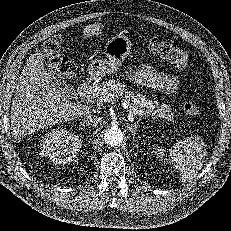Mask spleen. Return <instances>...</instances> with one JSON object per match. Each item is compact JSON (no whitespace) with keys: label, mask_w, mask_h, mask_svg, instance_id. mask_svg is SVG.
Wrapping results in <instances>:
<instances>
[{"label":"spleen","mask_w":231,"mask_h":231,"mask_svg":"<svg viewBox=\"0 0 231 231\" xmlns=\"http://www.w3.org/2000/svg\"><path fill=\"white\" fill-rule=\"evenodd\" d=\"M205 144L200 136H193L176 142L169 151L172 165L180 172L181 180L191 182L202 168ZM157 156H164V149H158Z\"/></svg>","instance_id":"spleen-1"}]
</instances>
